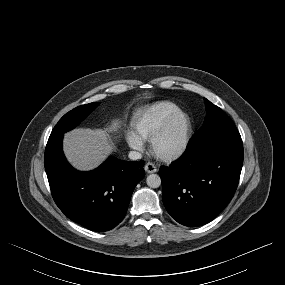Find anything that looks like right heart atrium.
Instances as JSON below:
<instances>
[{"label": "right heart atrium", "mask_w": 285, "mask_h": 285, "mask_svg": "<svg viewBox=\"0 0 285 285\" xmlns=\"http://www.w3.org/2000/svg\"><path fill=\"white\" fill-rule=\"evenodd\" d=\"M127 141L131 148L135 150H141L143 148L144 142L141 137H139L136 133L133 131H129L127 133Z\"/></svg>", "instance_id": "d8ad5b80"}]
</instances>
